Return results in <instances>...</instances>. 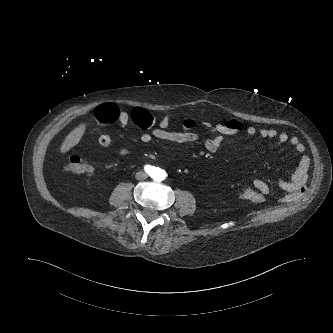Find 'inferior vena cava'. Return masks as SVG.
I'll return each mask as SVG.
<instances>
[{
    "label": "inferior vena cava",
    "mask_w": 333,
    "mask_h": 333,
    "mask_svg": "<svg viewBox=\"0 0 333 333\" xmlns=\"http://www.w3.org/2000/svg\"><path fill=\"white\" fill-rule=\"evenodd\" d=\"M148 177V175L145 172L139 171L136 173L135 178L137 180H145Z\"/></svg>",
    "instance_id": "inferior-vena-cava-1"
}]
</instances>
